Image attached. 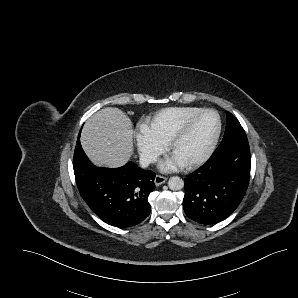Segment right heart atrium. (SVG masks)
Wrapping results in <instances>:
<instances>
[{"label":"right heart atrium","instance_id":"d8ad5b80","mask_svg":"<svg viewBox=\"0 0 298 298\" xmlns=\"http://www.w3.org/2000/svg\"><path fill=\"white\" fill-rule=\"evenodd\" d=\"M136 141L140 158L144 163L154 161L164 153L167 143L161 134L149 125H142L136 131Z\"/></svg>","mask_w":298,"mask_h":298}]
</instances>
